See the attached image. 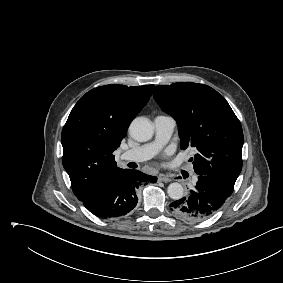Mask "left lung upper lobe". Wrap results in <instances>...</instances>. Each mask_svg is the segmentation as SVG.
<instances>
[{
  "instance_id": "left-lung-upper-lobe-1",
  "label": "left lung upper lobe",
  "mask_w": 283,
  "mask_h": 283,
  "mask_svg": "<svg viewBox=\"0 0 283 283\" xmlns=\"http://www.w3.org/2000/svg\"><path fill=\"white\" fill-rule=\"evenodd\" d=\"M153 97L177 121L181 149H197L194 171L234 185L242 169L243 132L225 98L193 82L156 86Z\"/></svg>"
}]
</instances>
